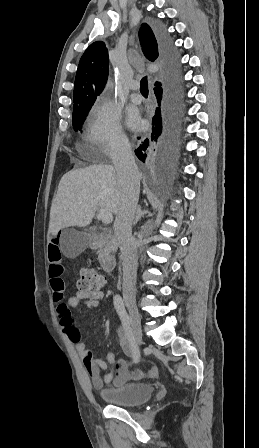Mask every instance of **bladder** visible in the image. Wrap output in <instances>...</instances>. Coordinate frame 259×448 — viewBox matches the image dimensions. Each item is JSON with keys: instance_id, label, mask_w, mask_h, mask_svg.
Wrapping results in <instances>:
<instances>
[{"instance_id": "31cf9c89", "label": "bladder", "mask_w": 259, "mask_h": 448, "mask_svg": "<svg viewBox=\"0 0 259 448\" xmlns=\"http://www.w3.org/2000/svg\"><path fill=\"white\" fill-rule=\"evenodd\" d=\"M153 388L147 383H127L100 392L101 398L112 405L137 406L150 399Z\"/></svg>"}]
</instances>
